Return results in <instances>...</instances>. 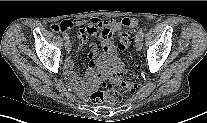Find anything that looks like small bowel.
<instances>
[{
    "label": "small bowel",
    "mask_w": 207,
    "mask_h": 123,
    "mask_svg": "<svg viewBox=\"0 0 207 123\" xmlns=\"http://www.w3.org/2000/svg\"><path fill=\"white\" fill-rule=\"evenodd\" d=\"M137 22L134 19L124 18L122 20L112 19L102 21L97 18L89 22L83 20H64L57 28L66 34L68 30L75 26H80L79 47L81 48L86 40L94 36L99 31L101 49L97 42L90 44L88 55L91 59L88 68L82 75L72 71L73 61L71 57L65 60V70L67 78L75 93L83 100H88L93 90L97 87L101 79L105 76L109 68L118 70L120 65L115 48V36L123 28L134 27Z\"/></svg>",
    "instance_id": "1"
}]
</instances>
